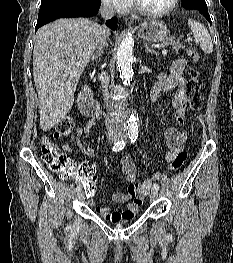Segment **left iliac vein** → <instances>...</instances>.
<instances>
[{
  "instance_id": "left-iliac-vein-1",
  "label": "left iliac vein",
  "mask_w": 233,
  "mask_h": 263,
  "mask_svg": "<svg viewBox=\"0 0 233 263\" xmlns=\"http://www.w3.org/2000/svg\"><path fill=\"white\" fill-rule=\"evenodd\" d=\"M158 198V191L153 189L150 194V200L155 201Z\"/></svg>"
}]
</instances>
